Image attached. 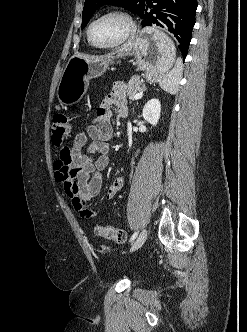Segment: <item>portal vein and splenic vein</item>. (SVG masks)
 Segmentation results:
<instances>
[{
  "label": "portal vein and splenic vein",
  "mask_w": 247,
  "mask_h": 332,
  "mask_svg": "<svg viewBox=\"0 0 247 332\" xmlns=\"http://www.w3.org/2000/svg\"><path fill=\"white\" fill-rule=\"evenodd\" d=\"M142 96H143V92H139V93H137V94L133 97V100H138V99H140Z\"/></svg>",
  "instance_id": "obj_1"
}]
</instances>
